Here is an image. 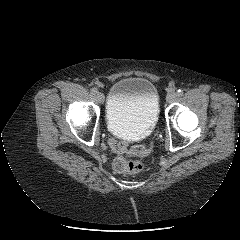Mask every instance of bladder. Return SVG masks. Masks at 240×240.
I'll return each mask as SVG.
<instances>
[{
  "instance_id": "obj_1",
  "label": "bladder",
  "mask_w": 240,
  "mask_h": 240,
  "mask_svg": "<svg viewBox=\"0 0 240 240\" xmlns=\"http://www.w3.org/2000/svg\"><path fill=\"white\" fill-rule=\"evenodd\" d=\"M159 112L157 88L147 78H122L109 90L106 124L116 135L134 138L149 134L157 124Z\"/></svg>"
}]
</instances>
